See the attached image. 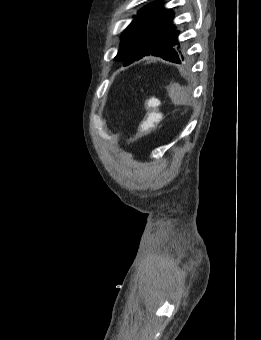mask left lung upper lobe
Instances as JSON below:
<instances>
[{
  "mask_svg": "<svg viewBox=\"0 0 261 340\" xmlns=\"http://www.w3.org/2000/svg\"><path fill=\"white\" fill-rule=\"evenodd\" d=\"M162 4L163 2H155L139 11V17H135L121 35L122 43L116 60L127 64L165 49L173 50L184 59L183 49L177 40L179 32L171 24L172 19H166L161 14Z\"/></svg>",
  "mask_w": 261,
  "mask_h": 340,
  "instance_id": "obj_1",
  "label": "left lung upper lobe"
}]
</instances>
